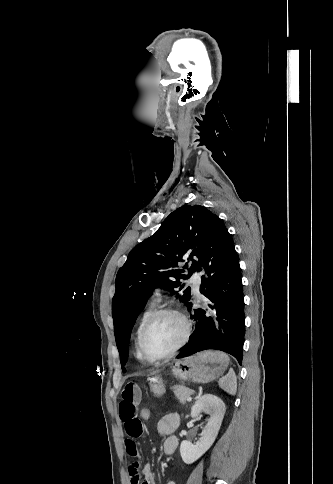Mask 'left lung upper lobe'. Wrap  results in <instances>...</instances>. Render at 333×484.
I'll return each instance as SVG.
<instances>
[{"label":"left lung upper lobe","mask_w":333,"mask_h":484,"mask_svg":"<svg viewBox=\"0 0 333 484\" xmlns=\"http://www.w3.org/2000/svg\"><path fill=\"white\" fill-rule=\"evenodd\" d=\"M217 216L199 205H183L172 212L160 228L129 253L116 276L112 299L115 339L122 366L128 355L130 332L151 292L163 288L185 304L191 298L190 288L183 289L180 279L189 278ZM183 258L192 261L180 268ZM123 372L125 369L122 367Z\"/></svg>","instance_id":"1"}]
</instances>
